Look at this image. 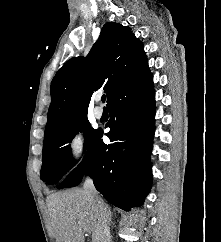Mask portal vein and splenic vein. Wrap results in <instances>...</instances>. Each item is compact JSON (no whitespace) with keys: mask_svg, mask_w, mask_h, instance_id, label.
<instances>
[{"mask_svg":"<svg viewBox=\"0 0 221 242\" xmlns=\"http://www.w3.org/2000/svg\"><path fill=\"white\" fill-rule=\"evenodd\" d=\"M84 231H87L88 232L87 228H84Z\"/></svg>","mask_w":221,"mask_h":242,"instance_id":"obj_1","label":"portal vein and splenic vein"}]
</instances>
